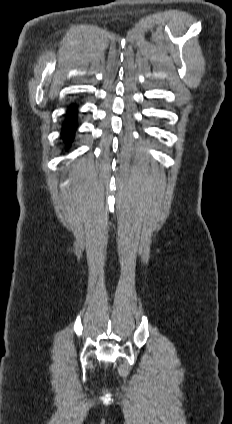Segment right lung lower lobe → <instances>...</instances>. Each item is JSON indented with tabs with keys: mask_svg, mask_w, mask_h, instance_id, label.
I'll return each mask as SVG.
<instances>
[{
	"mask_svg": "<svg viewBox=\"0 0 232 424\" xmlns=\"http://www.w3.org/2000/svg\"><path fill=\"white\" fill-rule=\"evenodd\" d=\"M75 113H76V109L72 107L68 113V116L65 120V123L62 129V136L67 143L71 142L74 136L75 127L77 126V123L75 120Z\"/></svg>",
	"mask_w": 232,
	"mask_h": 424,
	"instance_id": "right-lung-lower-lobe-1",
	"label": "right lung lower lobe"
}]
</instances>
